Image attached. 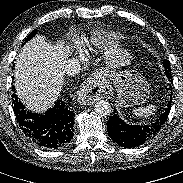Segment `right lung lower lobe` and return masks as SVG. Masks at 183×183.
Instances as JSON below:
<instances>
[{
	"label": "right lung lower lobe",
	"mask_w": 183,
	"mask_h": 183,
	"mask_svg": "<svg viewBox=\"0 0 183 183\" xmlns=\"http://www.w3.org/2000/svg\"><path fill=\"white\" fill-rule=\"evenodd\" d=\"M13 110L25 136L43 149L56 150L66 147L73 138V111L61 100L44 115L27 111L15 93Z\"/></svg>",
	"instance_id": "obj_1"
}]
</instances>
